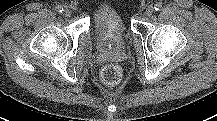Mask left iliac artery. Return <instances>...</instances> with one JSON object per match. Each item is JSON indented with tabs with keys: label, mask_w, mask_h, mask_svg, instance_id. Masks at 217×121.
I'll return each mask as SVG.
<instances>
[{
	"label": "left iliac artery",
	"mask_w": 217,
	"mask_h": 121,
	"mask_svg": "<svg viewBox=\"0 0 217 121\" xmlns=\"http://www.w3.org/2000/svg\"><path fill=\"white\" fill-rule=\"evenodd\" d=\"M161 8H162V4H161V3H156V4L154 5V9H155L156 11H159Z\"/></svg>",
	"instance_id": "left-iliac-artery-1"
}]
</instances>
